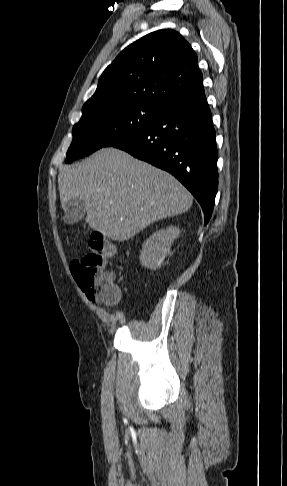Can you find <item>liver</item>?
I'll return each mask as SVG.
<instances>
[{
    "instance_id": "liver-1",
    "label": "liver",
    "mask_w": 287,
    "mask_h": 486,
    "mask_svg": "<svg viewBox=\"0 0 287 486\" xmlns=\"http://www.w3.org/2000/svg\"><path fill=\"white\" fill-rule=\"evenodd\" d=\"M58 184L63 208L79 198L89 227L119 242L156 221L187 212L193 202L172 175L115 148L61 167Z\"/></svg>"
}]
</instances>
